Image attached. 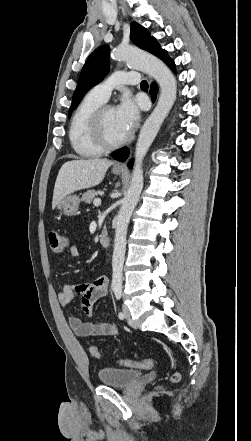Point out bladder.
Returning <instances> with one entry per match:
<instances>
[{
  "instance_id": "31cf9c89",
  "label": "bladder",
  "mask_w": 251,
  "mask_h": 441,
  "mask_svg": "<svg viewBox=\"0 0 251 441\" xmlns=\"http://www.w3.org/2000/svg\"><path fill=\"white\" fill-rule=\"evenodd\" d=\"M142 373L137 370L106 367L98 371V379L102 385L117 388L132 386Z\"/></svg>"
}]
</instances>
